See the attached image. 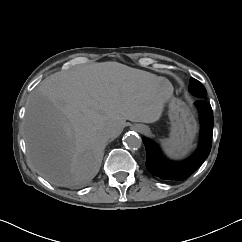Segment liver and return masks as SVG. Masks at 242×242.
<instances>
[{
    "instance_id": "1",
    "label": "liver",
    "mask_w": 242,
    "mask_h": 242,
    "mask_svg": "<svg viewBox=\"0 0 242 242\" xmlns=\"http://www.w3.org/2000/svg\"><path fill=\"white\" fill-rule=\"evenodd\" d=\"M173 90L165 77L118 62L50 75L26 102L23 129L32 165L54 185L87 183L100 169L109 124L123 130L126 120L158 121Z\"/></svg>"
}]
</instances>
